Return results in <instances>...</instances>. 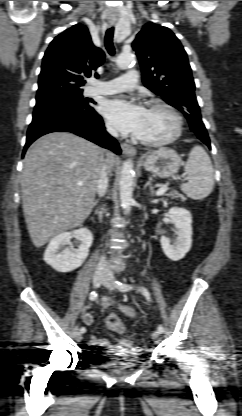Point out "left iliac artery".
<instances>
[{
	"label": "left iliac artery",
	"instance_id": "44dca946",
	"mask_svg": "<svg viewBox=\"0 0 242 416\" xmlns=\"http://www.w3.org/2000/svg\"><path fill=\"white\" fill-rule=\"evenodd\" d=\"M115 284H116V287H117L120 291H123V292H127V291H129L130 289H132L131 285L126 284V283H122V282L116 281V282H115ZM140 291H141V292H142V294L145 296V298L149 301V300H150V294H149L148 290H147L146 288H144V287H141V288H140ZM158 331H159L160 333H163V332H164V328H163V326H162V325H159V326H158Z\"/></svg>",
	"mask_w": 242,
	"mask_h": 416
}]
</instances>
